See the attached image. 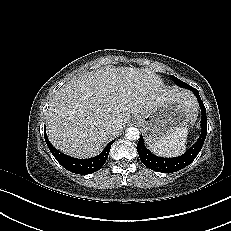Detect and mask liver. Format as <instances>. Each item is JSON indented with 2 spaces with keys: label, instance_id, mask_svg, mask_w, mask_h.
Returning a JSON list of instances; mask_svg holds the SVG:
<instances>
[{
  "label": "liver",
  "instance_id": "1",
  "mask_svg": "<svg viewBox=\"0 0 231 231\" xmlns=\"http://www.w3.org/2000/svg\"><path fill=\"white\" fill-rule=\"evenodd\" d=\"M194 107L192 95L167 88L149 69L106 67L71 79L53 96L46 114L47 135L58 150L76 158L99 154L130 119L164 102ZM117 125L113 134L109 125Z\"/></svg>",
  "mask_w": 231,
  "mask_h": 231
}]
</instances>
